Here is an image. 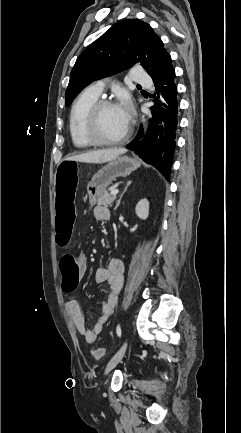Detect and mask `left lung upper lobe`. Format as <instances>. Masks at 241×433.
Returning <instances> with one entry per match:
<instances>
[{"label": "left lung upper lobe", "instance_id": "1", "mask_svg": "<svg viewBox=\"0 0 241 433\" xmlns=\"http://www.w3.org/2000/svg\"><path fill=\"white\" fill-rule=\"evenodd\" d=\"M140 64L151 78H160L172 65L159 36L145 22L120 21L77 59L65 94L69 104L87 84Z\"/></svg>", "mask_w": 241, "mask_h": 433}]
</instances>
